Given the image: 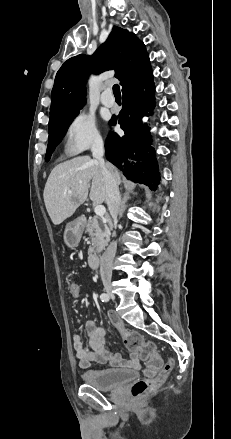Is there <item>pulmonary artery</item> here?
<instances>
[{
    "instance_id": "obj_1",
    "label": "pulmonary artery",
    "mask_w": 231,
    "mask_h": 439,
    "mask_svg": "<svg viewBox=\"0 0 231 439\" xmlns=\"http://www.w3.org/2000/svg\"><path fill=\"white\" fill-rule=\"evenodd\" d=\"M101 103L106 107H113L115 105L114 98L111 96L110 90L106 89L101 95Z\"/></svg>"
}]
</instances>
